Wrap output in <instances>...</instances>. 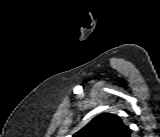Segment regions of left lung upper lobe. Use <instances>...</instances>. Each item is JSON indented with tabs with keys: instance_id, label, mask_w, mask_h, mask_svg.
Listing matches in <instances>:
<instances>
[{
	"instance_id": "left-lung-upper-lobe-1",
	"label": "left lung upper lobe",
	"mask_w": 160,
	"mask_h": 137,
	"mask_svg": "<svg viewBox=\"0 0 160 137\" xmlns=\"http://www.w3.org/2000/svg\"><path fill=\"white\" fill-rule=\"evenodd\" d=\"M131 130L115 114L102 113L92 119L73 137H130Z\"/></svg>"
}]
</instances>
